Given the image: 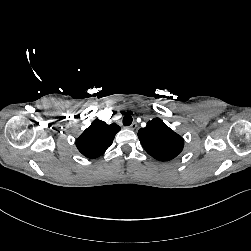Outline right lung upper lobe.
I'll use <instances>...</instances> for the list:
<instances>
[{"label":"right lung upper lobe","mask_w":251,"mask_h":251,"mask_svg":"<svg viewBox=\"0 0 251 251\" xmlns=\"http://www.w3.org/2000/svg\"><path fill=\"white\" fill-rule=\"evenodd\" d=\"M120 129L115 123L108 125L96 119L76 139V146L85 157L97 158L105 153Z\"/></svg>","instance_id":"1"}]
</instances>
